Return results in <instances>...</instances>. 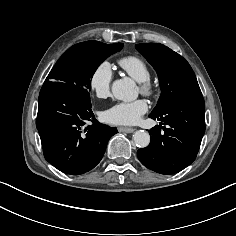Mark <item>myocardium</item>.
I'll use <instances>...</instances> for the list:
<instances>
[{"label": "myocardium", "mask_w": 236, "mask_h": 236, "mask_svg": "<svg viewBox=\"0 0 236 236\" xmlns=\"http://www.w3.org/2000/svg\"><path fill=\"white\" fill-rule=\"evenodd\" d=\"M140 91L142 94L150 97L155 93V86L149 80L142 81L140 82Z\"/></svg>", "instance_id": "obj_1"}]
</instances>
